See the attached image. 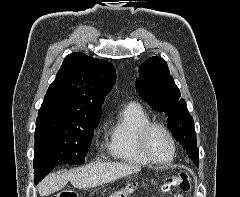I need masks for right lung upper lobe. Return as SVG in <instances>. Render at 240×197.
Here are the masks:
<instances>
[{"instance_id": "1", "label": "right lung upper lobe", "mask_w": 240, "mask_h": 197, "mask_svg": "<svg viewBox=\"0 0 240 197\" xmlns=\"http://www.w3.org/2000/svg\"><path fill=\"white\" fill-rule=\"evenodd\" d=\"M115 82L116 71L110 62L71 53L49 86L38 115L100 117L103 100Z\"/></svg>"}]
</instances>
